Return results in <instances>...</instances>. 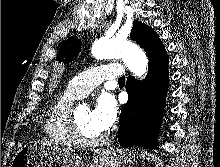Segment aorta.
Wrapping results in <instances>:
<instances>
[{
    "mask_svg": "<svg viewBox=\"0 0 220 167\" xmlns=\"http://www.w3.org/2000/svg\"><path fill=\"white\" fill-rule=\"evenodd\" d=\"M97 59L122 58L127 68L138 78L147 73L148 59L143 50L131 41L118 37L96 40L91 49Z\"/></svg>",
    "mask_w": 220,
    "mask_h": 167,
    "instance_id": "762f6f07",
    "label": "aorta"
}]
</instances>
